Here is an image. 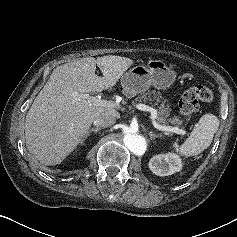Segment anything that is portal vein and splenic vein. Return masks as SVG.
<instances>
[{
    "label": "portal vein and splenic vein",
    "instance_id": "obj_1",
    "mask_svg": "<svg viewBox=\"0 0 237 237\" xmlns=\"http://www.w3.org/2000/svg\"><path fill=\"white\" fill-rule=\"evenodd\" d=\"M82 97L87 98V100L90 104H94L96 106L116 108V105L114 102L108 101L105 99H101V97H99V96H89L88 94H83ZM135 107H136V109H138L140 111L149 112L151 114L153 126L155 128H157L158 130L173 132V133H177V134H181V135L186 134V131H184L178 127L165 126V125H160L159 123H157L156 119L158 117V114H157V110L155 108L150 107L146 104H142V103L136 104Z\"/></svg>",
    "mask_w": 237,
    "mask_h": 237
}]
</instances>
